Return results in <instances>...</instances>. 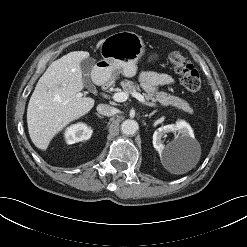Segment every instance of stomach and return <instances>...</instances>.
Returning a JSON list of instances; mask_svg holds the SVG:
<instances>
[{
	"instance_id": "0dacf381",
	"label": "stomach",
	"mask_w": 247,
	"mask_h": 247,
	"mask_svg": "<svg viewBox=\"0 0 247 247\" xmlns=\"http://www.w3.org/2000/svg\"><path fill=\"white\" fill-rule=\"evenodd\" d=\"M145 52L142 37L134 32L122 31L104 39L100 53L102 59L94 66L93 74L102 80H108L118 73L133 77L137 71V62ZM158 60L151 55L149 62Z\"/></svg>"
}]
</instances>
